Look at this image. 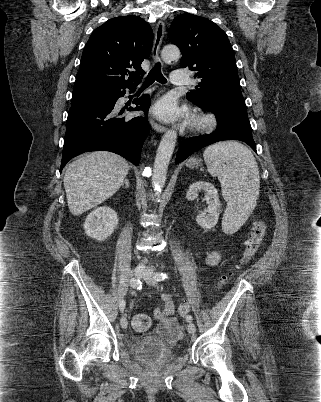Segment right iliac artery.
<instances>
[{
  "mask_svg": "<svg viewBox=\"0 0 321 402\" xmlns=\"http://www.w3.org/2000/svg\"><path fill=\"white\" fill-rule=\"evenodd\" d=\"M130 285H131V287H133L134 289H137V290H138V289H141L140 280H137V279H135V278H132V279L130 280ZM133 293H134V292H133ZM119 307H120V310H121V311L124 310V308H125V301H124V300L120 301Z\"/></svg>",
  "mask_w": 321,
  "mask_h": 402,
  "instance_id": "right-iliac-artery-1",
  "label": "right iliac artery"
}]
</instances>
